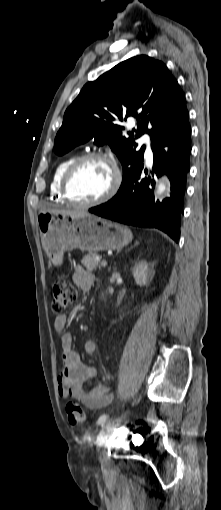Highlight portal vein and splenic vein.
<instances>
[{
  "label": "portal vein and splenic vein",
  "mask_w": 221,
  "mask_h": 510,
  "mask_svg": "<svg viewBox=\"0 0 221 510\" xmlns=\"http://www.w3.org/2000/svg\"><path fill=\"white\" fill-rule=\"evenodd\" d=\"M96 260H97V258H96ZM100 263H101L102 266H107V261L106 260H102Z\"/></svg>",
  "instance_id": "1"
}]
</instances>
